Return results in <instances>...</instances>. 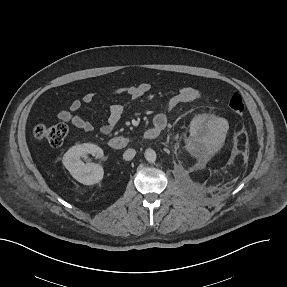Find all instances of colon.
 I'll use <instances>...</instances> for the list:
<instances>
[{
  "mask_svg": "<svg viewBox=\"0 0 287 287\" xmlns=\"http://www.w3.org/2000/svg\"><path fill=\"white\" fill-rule=\"evenodd\" d=\"M228 105L229 109L237 115H241L244 112V102L238 93L231 96ZM67 134L68 128L64 124H37L33 128L35 139L46 141L53 147L62 145Z\"/></svg>",
  "mask_w": 287,
  "mask_h": 287,
  "instance_id": "1",
  "label": "colon"
}]
</instances>
